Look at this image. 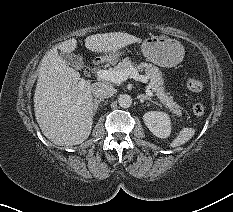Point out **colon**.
<instances>
[{
  "label": "colon",
  "mask_w": 233,
  "mask_h": 212,
  "mask_svg": "<svg viewBox=\"0 0 233 212\" xmlns=\"http://www.w3.org/2000/svg\"><path fill=\"white\" fill-rule=\"evenodd\" d=\"M186 84H187L188 89L193 91V92H200L203 90V87H204L203 83L195 78L187 79ZM192 111H193L194 115L201 116V115H203V113L205 111V107L201 102H196V103H194V105L192 107Z\"/></svg>",
  "instance_id": "obj_1"
}]
</instances>
